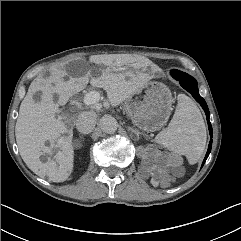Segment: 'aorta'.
<instances>
[{"mask_svg":"<svg viewBox=\"0 0 241 241\" xmlns=\"http://www.w3.org/2000/svg\"><path fill=\"white\" fill-rule=\"evenodd\" d=\"M100 128L107 134H112L117 130V120L111 115H104L99 122Z\"/></svg>","mask_w":241,"mask_h":241,"instance_id":"obj_1","label":"aorta"}]
</instances>
